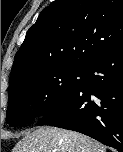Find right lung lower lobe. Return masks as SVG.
I'll list each match as a JSON object with an SVG mask.
<instances>
[{
    "label": "right lung lower lobe",
    "mask_w": 123,
    "mask_h": 152,
    "mask_svg": "<svg viewBox=\"0 0 123 152\" xmlns=\"http://www.w3.org/2000/svg\"><path fill=\"white\" fill-rule=\"evenodd\" d=\"M82 70L78 89L37 125L77 131L123 152V42Z\"/></svg>",
    "instance_id": "right-lung-lower-lobe-1"
}]
</instances>
